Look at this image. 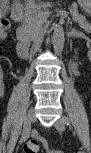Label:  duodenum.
<instances>
[{
    "label": "duodenum",
    "instance_id": "obj_1",
    "mask_svg": "<svg viewBox=\"0 0 91 153\" xmlns=\"http://www.w3.org/2000/svg\"><path fill=\"white\" fill-rule=\"evenodd\" d=\"M14 16L16 22L22 25L24 22L23 8L19 7L17 10H15ZM16 52L21 58H28L31 55L29 44L23 38L22 27L17 29Z\"/></svg>",
    "mask_w": 91,
    "mask_h": 153
}]
</instances>
